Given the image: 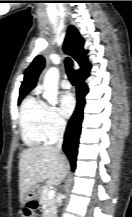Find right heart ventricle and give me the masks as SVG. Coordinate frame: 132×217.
<instances>
[{"label":"right heart ventricle","instance_id":"1","mask_svg":"<svg viewBox=\"0 0 132 217\" xmlns=\"http://www.w3.org/2000/svg\"><path fill=\"white\" fill-rule=\"evenodd\" d=\"M47 106L36 96L24 99L20 108L21 137L28 147H38L47 141L44 118Z\"/></svg>","mask_w":132,"mask_h":217}]
</instances>
